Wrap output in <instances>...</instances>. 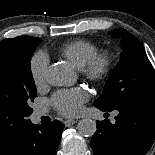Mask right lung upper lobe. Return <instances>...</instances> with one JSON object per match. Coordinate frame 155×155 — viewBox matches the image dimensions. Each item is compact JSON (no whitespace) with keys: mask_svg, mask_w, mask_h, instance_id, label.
<instances>
[{"mask_svg":"<svg viewBox=\"0 0 155 155\" xmlns=\"http://www.w3.org/2000/svg\"><path fill=\"white\" fill-rule=\"evenodd\" d=\"M28 38H35V37H31V36H20V37H16V38H13V39H5V40H22V39H28ZM3 40V41H5Z\"/></svg>","mask_w":155,"mask_h":155,"instance_id":"cb5924a9","label":"right lung upper lobe"}]
</instances>
